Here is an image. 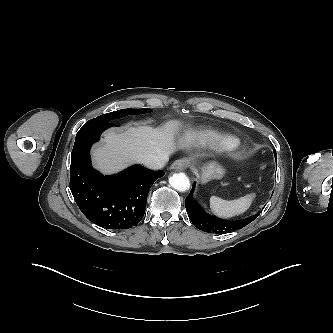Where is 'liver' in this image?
I'll return each mask as SVG.
<instances>
[{
    "mask_svg": "<svg viewBox=\"0 0 333 333\" xmlns=\"http://www.w3.org/2000/svg\"><path fill=\"white\" fill-rule=\"evenodd\" d=\"M179 125L177 120H170L158 128L140 126L121 133L107 131L103 145L96 146L92 151L95 167L110 174L144 158H168L176 149L174 138Z\"/></svg>",
    "mask_w": 333,
    "mask_h": 333,
    "instance_id": "6515ba94",
    "label": "liver"
}]
</instances>
